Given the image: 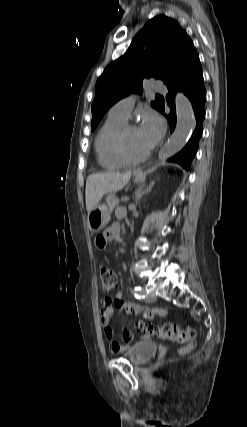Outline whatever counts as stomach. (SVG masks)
<instances>
[{"label": "stomach", "instance_id": "obj_1", "mask_svg": "<svg viewBox=\"0 0 247 427\" xmlns=\"http://www.w3.org/2000/svg\"><path fill=\"white\" fill-rule=\"evenodd\" d=\"M135 182H140L142 178L135 176ZM110 219V210L104 204H98L88 213V226L91 231L98 232L102 230Z\"/></svg>", "mask_w": 247, "mask_h": 427}]
</instances>
